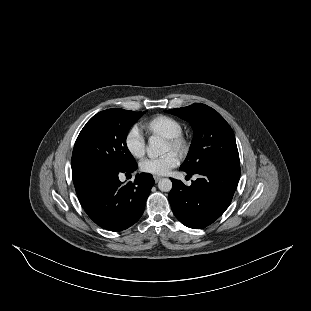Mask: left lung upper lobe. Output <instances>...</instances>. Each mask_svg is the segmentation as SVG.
Wrapping results in <instances>:
<instances>
[{"label":"left lung upper lobe","mask_w":311,"mask_h":311,"mask_svg":"<svg viewBox=\"0 0 311 311\" xmlns=\"http://www.w3.org/2000/svg\"><path fill=\"white\" fill-rule=\"evenodd\" d=\"M166 112L188 121L194 130V138L181 170L194 173L215 164L239 163L234 133L213 108L196 103Z\"/></svg>","instance_id":"left-lung-upper-lobe-1"}]
</instances>
